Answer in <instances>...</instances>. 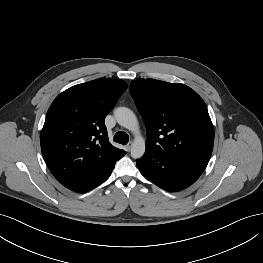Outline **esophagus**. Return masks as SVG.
Here are the masks:
<instances>
[{"label":"esophagus","mask_w":263,"mask_h":263,"mask_svg":"<svg viewBox=\"0 0 263 263\" xmlns=\"http://www.w3.org/2000/svg\"><path fill=\"white\" fill-rule=\"evenodd\" d=\"M130 149H131V143H128V144L126 145V150H127V151H130Z\"/></svg>","instance_id":"34e87169"}]
</instances>
